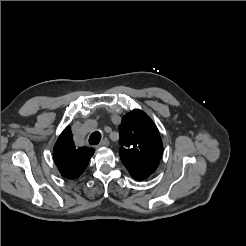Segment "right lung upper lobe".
I'll use <instances>...</instances> for the list:
<instances>
[{"instance_id": "1", "label": "right lung upper lobe", "mask_w": 246, "mask_h": 246, "mask_svg": "<svg viewBox=\"0 0 246 246\" xmlns=\"http://www.w3.org/2000/svg\"><path fill=\"white\" fill-rule=\"evenodd\" d=\"M94 151L93 148L75 147L72 132L68 126L55 144L53 158L63 177L77 179L87 167Z\"/></svg>"}]
</instances>
